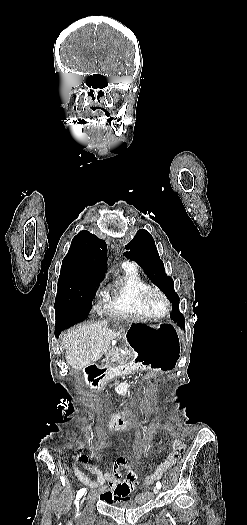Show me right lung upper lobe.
Returning a JSON list of instances; mask_svg holds the SVG:
<instances>
[{"instance_id":"right-lung-upper-lobe-1","label":"right lung upper lobe","mask_w":247,"mask_h":525,"mask_svg":"<svg viewBox=\"0 0 247 525\" xmlns=\"http://www.w3.org/2000/svg\"><path fill=\"white\" fill-rule=\"evenodd\" d=\"M107 245L88 231H80L72 240L62 261L61 272H87L104 276Z\"/></svg>"}]
</instances>
